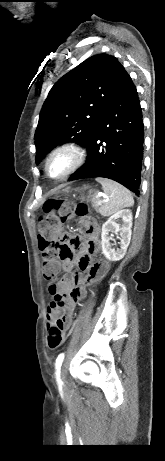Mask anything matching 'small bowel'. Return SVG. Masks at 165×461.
<instances>
[{"label":"small bowel","instance_id":"1","mask_svg":"<svg viewBox=\"0 0 165 461\" xmlns=\"http://www.w3.org/2000/svg\"><path fill=\"white\" fill-rule=\"evenodd\" d=\"M77 213L83 216L85 211L80 209ZM80 223L86 229L87 240L84 243L82 234L66 237V245H73L78 252L59 251V258H54L52 263L56 268V273L63 270L65 274L58 282L51 283L48 287L49 295L52 297L46 313L48 324L55 320L60 312H63L61 318L64 329L71 325L76 304L85 296L86 286L107 271V263L104 268H100L91 260L100 248L97 224L91 219L84 218L80 219ZM76 264L85 274L78 272L70 274Z\"/></svg>","mask_w":165,"mask_h":461}]
</instances>
